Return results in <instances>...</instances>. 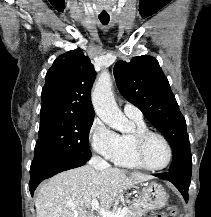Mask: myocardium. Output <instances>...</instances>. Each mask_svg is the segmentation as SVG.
Wrapping results in <instances>:
<instances>
[{
	"instance_id": "1",
	"label": "myocardium",
	"mask_w": 211,
	"mask_h": 217,
	"mask_svg": "<svg viewBox=\"0 0 211 217\" xmlns=\"http://www.w3.org/2000/svg\"><path fill=\"white\" fill-rule=\"evenodd\" d=\"M152 137L160 138L165 143L167 150H168L167 162L161 167H153V166L149 165L147 160H146V156H145L146 145H147V142ZM134 152H135V156H136L138 162L141 164V166L143 168L151 170V171H161V170L166 169L170 165L172 158H173V150H172L171 144L168 141V139L163 134H161L159 132L151 131V130H146V131L135 133V135H134Z\"/></svg>"
}]
</instances>
